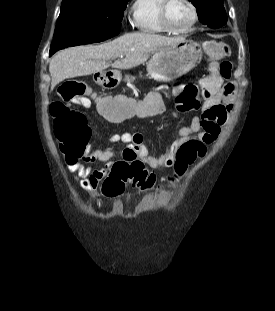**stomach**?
I'll return each mask as SVG.
<instances>
[{
	"mask_svg": "<svg viewBox=\"0 0 275 311\" xmlns=\"http://www.w3.org/2000/svg\"><path fill=\"white\" fill-rule=\"evenodd\" d=\"M202 59L201 46L193 41H180L156 51L147 62L149 76L157 81H172L196 67ZM122 75L117 70L104 71L102 80L96 82L104 88L119 85ZM133 76L127 75V82L134 81Z\"/></svg>",
	"mask_w": 275,
	"mask_h": 311,
	"instance_id": "obj_1",
	"label": "stomach"
}]
</instances>
